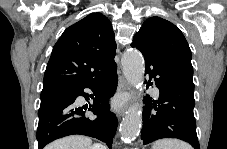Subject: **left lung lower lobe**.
Wrapping results in <instances>:
<instances>
[{"instance_id": "1", "label": "left lung lower lobe", "mask_w": 227, "mask_h": 149, "mask_svg": "<svg viewBox=\"0 0 227 149\" xmlns=\"http://www.w3.org/2000/svg\"><path fill=\"white\" fill-rule=\"evenodd\" d=\"M131 46L142 52L145 72L154 78L160 91L158 100H153L149 95L144 99L141 130L143 144L162 138H177L188 142L194 149H199L193 113L194 87L163 64L143 37L135 38Z\"/></svg>"}]
</instances>
